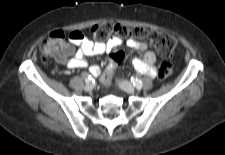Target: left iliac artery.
I'll list each match as a JSON object with an SVG mask.
<instances>
[{
	"mask_svg": "<svg viewBox=\"0 0 225 155\" xmlns=\"http://www.w3.org/2000/svg\"><path fill=\"white\" fill-rule=\"evenodd\" d=\"M131 82L138 90H140L143 87L142 81L137 78L135 79V78L131 77Z\"/></svg>",
	"mask_w": 225,
	"mask_h": 155,
	"instance_id": "obj_1",
	"label": "left iliac artery"
}]
</instances>
